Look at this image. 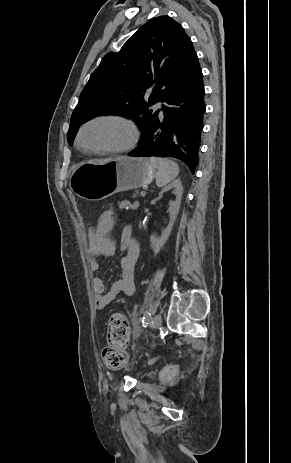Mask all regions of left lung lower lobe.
<instances>
[{
    "instance_id": "left-lung-lower-lobe-1",
    "label": "left lung lower lobe",
    "mask_w": 291,
    "mask_h": 463,
    "mask_svg": "<svg viewBox=\"0 0 291 463\" xmlns=\"http://www.w3.org/2000/svg\"><path fill=\"white\" fill-rule=\"evenodd\" d=\"M202 70L178 84L164 98V117L154 118L142 135L133 157H173L182 160L194 174L199 160L205 113Z\"/></svg>"
}]
</instances>
